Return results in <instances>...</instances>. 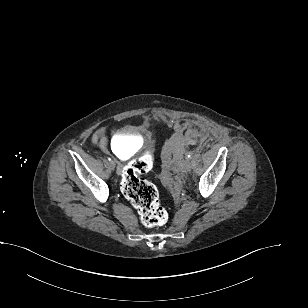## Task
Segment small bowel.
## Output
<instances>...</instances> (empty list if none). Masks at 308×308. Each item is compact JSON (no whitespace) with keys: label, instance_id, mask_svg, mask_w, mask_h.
Segmentation results:
<instances>
[{"label":"small bowel","instance_id":"obj_1","mask_svg":"<svg viewBox=\"0 0 308 308\" xmlns=\"http://www.w3.org/2000/svg\"><path fill=\"white\" fill-rule=\"evenodd\" d=\"M178 126L180 128H183V129H187V130H190L192 129V123L190 121H185V122H179L178 123ZM92 143L94 145H98L100 146V148L103 150V151H107V148H108V137H107V129L106 128H100L98 129L93 137H92Z\"/></svg>","mask_w":308,"mask_h":308}]
</instances>
